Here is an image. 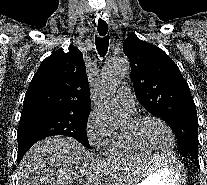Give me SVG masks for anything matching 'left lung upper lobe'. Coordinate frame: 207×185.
Returning <instances> with one entry per match:
<instances>
[{"label":"left lung upper lobe","mask_w":207,"mask_h":185,"mask_svg":"<svg viewBox=\"0 0 207 185\" xmlns=\"http://www.w3.org/2000/svg\"><path fill=\"white\" fill-rule=\"evenodd\" d=\"M123 51L131 63L138 101L173 130L184 157L198 155V118L188 83L178 66L160 48L129 34Z\"/></svg>","instance_id":"1"}]
</instances>
